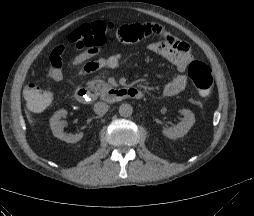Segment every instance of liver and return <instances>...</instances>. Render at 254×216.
<instances>
[{
	"label": "liver",
	"mask_w": 254,
	"mask_h": 216,
	"mask_svg": "<svg viewBox=\"0 0 254 216\" xmlns=\"http://www.w3.org/2000/svg\"><path fill=\"white\" fill-rule=\"evenodd\" d=\"M29 122H30V123L32 122L31 119H29Z\"/></svg>",
	"instance_id": "obj_1"
}]
</instances>
